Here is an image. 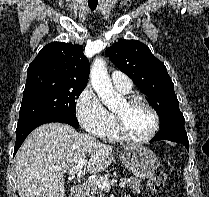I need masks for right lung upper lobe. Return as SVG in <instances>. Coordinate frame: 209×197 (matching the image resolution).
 Wrapping results in <instances>:
<instances>
[{"mask_svg": "<svg viewBox=\"0 0 209 197\" xmlns=\"http://www.w3.org/2000/svg\"><path fill=\"white\" fill-rule=\"evenodd\" d=\"M89 61L83 47L64 42H52L40 50L27 69V81L36 80L87 84Z\"/></svg>", "mask_w": 209, "mask_h": 197, "instance_id": "right-lung-upper-lobe-1", "label": "right lung upper lobe"}]
</instances>
